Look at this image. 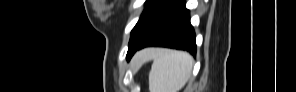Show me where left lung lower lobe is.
Segmentation results:
<instances>
[{
  "mask_svg": "<svg viewBox=\"0 0 296 92\" xmlns=\"http://www.w3.org/2000/svg\"><path fill=\"white\" fill-rule=\"evenodd\" d=\"M148 46L183 49L196 54L195 33L184 0L169 1L147 35L128 50L127 59L137 50Z\"/></svg>",
  "mask_w": 296,
  "mask_h": 92,
  "instance_id": "obj_1",
  "label": "left lung lower lobe"
}]
</instances>
